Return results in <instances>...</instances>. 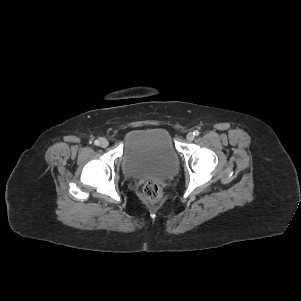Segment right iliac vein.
I'll list each match as a JSON object with an SVG mask.
<instances>
[{
	"instance_id": "63e3f726",
	"label": "right iliac vein",
	"mask_w": 301,
	"mask_h": 301,
	"mask_svg": "<svg viewBox=\"0 0 301 301\" xmlns=\"http://www.w3.org/2000/svg\"><path fill=\"white\" fill-rule=\"evenodd\" d=\"M109 145V142L105 138H100L99 139V146L106 148Z\"/></svg>"
}]
</instances>
